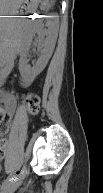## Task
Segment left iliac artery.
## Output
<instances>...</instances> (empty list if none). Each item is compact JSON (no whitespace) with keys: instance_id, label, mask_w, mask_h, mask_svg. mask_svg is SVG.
I'll return each mask as SVG.
<instances>
[{"instance_id":"1","label":"left iliac artery","mask_w":103,"mask_h":193,"mask_svg":"<svg viewBox=\"0 0 103 193\" xmlns=\"http://www.w3.org/2000/svg\"><path fill=\"white\" fill-rule=\"evenodd\" d=\"M22 162H23V154L21 158L19 159L17 165L13 169L12 173L10 174V176L3 182L2 184L3 188L10 186L14 181L17 180V177L20 173V167H21Z\"/></svg>"}]
</instances>
